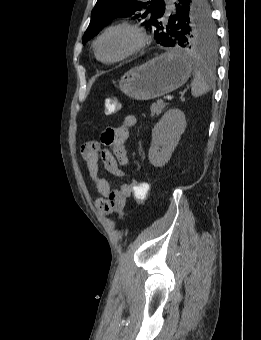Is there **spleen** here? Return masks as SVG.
<instances>
[{
  "label": "spleen",
  "mask_w": 261,
  "mask_h": 340,
  "mask_svg": "<svg viewBox=\"0 0 261 340\" xmlns=\"http://www.w3.org/2000/svg\"><path fill=\"white\" fill-rule=\"evenodd\" d=\"M213 84L212 74L206 68L196 64L194 66V80L191 83L192 95L198 97L207 93Z\"/></svg>",
  "instance_id": "1"
}]
</instances>
